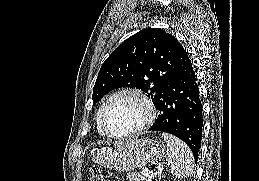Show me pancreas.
<instances>
[{"label": "pancreas", "mask_w": 259, "mask_h": 181, "mask_svg": "<svg viewBox=\"0 0 259 181\" xmlns=\"http://www.w3.org/2000/svg\"><path fill=\"white\" fill-rule=\"evenodd\" d=\"M126 178L129 181H144V177L140 173H128Z\"/></svg>", "instance_id": "pancreas-1"}]
</instances>
